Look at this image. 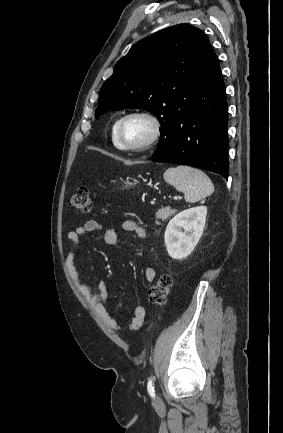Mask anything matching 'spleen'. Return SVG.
<instances>
[{
  "label": "spleen",
  "instance_id": "3e777b00",
  "mask_svg": "<svg viewBox=\"0 0 283 433\" xmlns=\"http://www.w3.org/2000/svg\"><path fill=\"white\" fill-rule=\"evenodd\" d=\"M163 178L177 190L184 192L186 202H197L214 192L213 182L209 176L199 168H192V166L180 164V166L167 168Z\"/></svg>",
  "mask_w": 283,
  "mask_h": 433
}]
</instances>
